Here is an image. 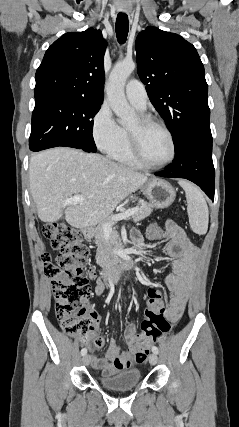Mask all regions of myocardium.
<instances>
[{"label":"myocardium","mask_w":239,"mask_h":427,"mask_svg":"<svg viewBox=\"0 0 239 427\" xmlns=\"http://www.w3.org/2000/svg\"><path fill=\"white\" fill-rule=\"evenodd\" d=\"M139 123L142 127H156L160 130H162L169 138L171 143V155L170 157L160 163V164H152L148 162L142 155L141 147H140V138L138 132L132 131L130 129H127V136H128V143L130 147L131 154L133 158L143 167L149 168V169H160L164 168L167 165H169L176 157L177 154V145L175 138L172 134V132L161 122L155 120L149 115L146 114H140L138 115Z\"/></svg>","instance_id":"obj_1"}]
</instances>
